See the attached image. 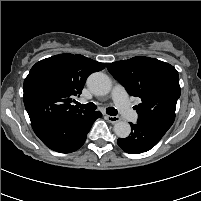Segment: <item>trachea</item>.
Listing matches in <instances>:
<instances>
[{
    "label": "trachea",
    "mask_w": 201,
    "mask_h": 201,
    "mask_svg": "<svg viewBox=\"0 0 201 201\" xmlns=\"http://www.w3.org/2000/svg\"><path fill=\"white\" fill-rule=\"evenodd\" d=\"M76 105L78 108L86 109L89 111H94L97 108V106L94 103H87V104L77 103ZM106 112L108 115H111V116H116L118 114V111L114 107H108L106 109Z\"/></svg>",
    "instance_id": "3493384b"
}]
</instances>
